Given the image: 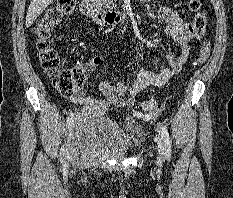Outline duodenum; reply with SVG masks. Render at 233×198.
<instances>
[{"label": "duodenum", "mask_w": 233, "mask_h": 198, "mask_svg": "<svg viewBox=\"0 0 233 198\" xmlns=\"http://www.w3.org/2000/svg\"><path fill=\"white\" fill-rule=\"evenodd\" d=\"M82 14L90 17L95 23L102 26L118 24L122 21V16L115 11L101 9L93 0H82L80 3Z\"/></svg>", "instance_id": "1"}]
</instances>
